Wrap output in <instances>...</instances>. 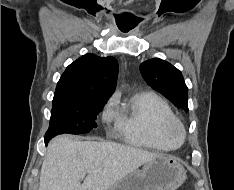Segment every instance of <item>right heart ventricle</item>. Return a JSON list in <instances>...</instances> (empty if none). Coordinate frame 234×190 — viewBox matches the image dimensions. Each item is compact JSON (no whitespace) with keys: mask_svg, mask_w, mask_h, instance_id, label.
Masks as SVG:
<instances>
[{"mask_svg":"<svg viewBox=\"0 0 234 190\" xmlns=\"http://www.w3.org/2000/svg\"><path fill=\"white\" fill-rule=\"evenodd\" d=\"M178 122L169 104L153 92L134 95L115 110V127L128 144L170 151L180 144L169 138L168 127Z\"/></svg>","mask_w":234,"mask_h":190,"instance_id":"1","label":"right heart ventricle"}]
</instances>
